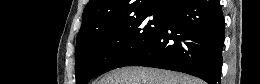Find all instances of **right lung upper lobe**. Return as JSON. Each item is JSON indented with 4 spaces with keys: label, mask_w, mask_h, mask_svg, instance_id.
I'll return each instance as SVG.
<instances>
[{
    "label": "right lung upper lobe",
    "mask_w": 260,
    "mask_h": 84,
    "mask_svg": "<svg viewBox=\"0 0 260 84\" xmlns=\"http://www.w3.org/2000/svg\"><path fill=\"white\" fill-rule=\"evenodd\" d=\"M183 0H90L83 12V23L76 43L102 23L116 22L143 13H167Z\"/></svg>",
    "instance_id": "1"
}]
</instances>
